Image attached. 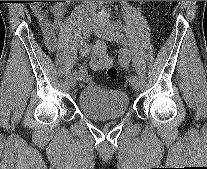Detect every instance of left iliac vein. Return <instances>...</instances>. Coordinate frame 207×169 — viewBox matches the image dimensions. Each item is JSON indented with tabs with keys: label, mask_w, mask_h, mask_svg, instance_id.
<instances>
[{
	"label": "left iliac vein",
	"mask_w": 207,
	"mask_h": 169,
	"mask_svg": "<svg viewBox=\"0 0 207 169\" xmlns=\"http://www.w3.org/2000/svg\"><path fill=\"white\" fill-rule=\"evenodd\" d=\"M93 31L96 35L108 41L121 42L122 37L112 23L94 24ZM130 84L135 91H139L141 85L138 78L130 81Z\"/></svg>",
	"instance_id": "obj_1"
}]
</instances>
